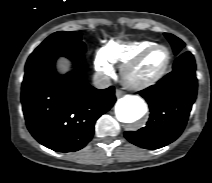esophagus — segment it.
<instances>
[{"label":"esophagus","mask_w":212,"mask_h":183,"mask_svg":"<svg viewBox=\"0 0 212 183\" xmlns=\"http://www.w3.org/2000/svg\"><path fill=\"white\" fill-rule=\"evenodd\" d=\"M122 93H123V92H122L120 89H116V91H115V95H116L117 97L121 96Z\"/></svg>","instance_id":"34e87169"}]
</instances>
